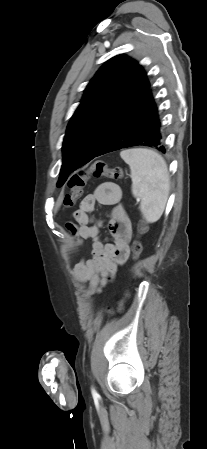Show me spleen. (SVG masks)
Returning a JSON list of instances; mask_svg holds the SVG:
<instances>
[{"label":"spleen","instance_id":"obj_1","mask_svg":"<svg viewBox=\"0 0 207 449\" xmlns=\"http://www.w3.org/2000/svg\"><path fill=\"white\" fill-rule=\"evenodd\" d=\"M129 165L132 194L141 198L140 211L148 223H154L164 212L170 190V177L164 158L157 152L134 148L121 151Z\"/></svg>","mask_w":207,"mask_h":449}]
</instances>
